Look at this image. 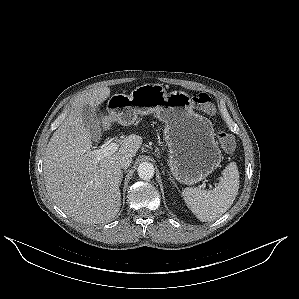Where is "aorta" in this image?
<instances>
[{"label": "aorta", "instance_id": "obj_1", "mask_svg": "<svg viewBox=\"0 0 299 299\" xmlns=\"http://www.w3.org/2000/svg\"><path fill=\"white\" fill-rule=\"evenodd\" d=\"M138 175L143 180L151 179L154 176V166L149 162H142L138 167Z\"/></svg>", "mask_w": 299, "mask_h": 299}]
</instances>
